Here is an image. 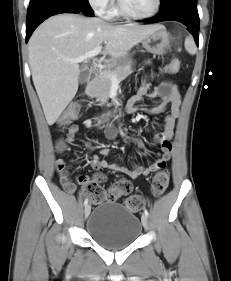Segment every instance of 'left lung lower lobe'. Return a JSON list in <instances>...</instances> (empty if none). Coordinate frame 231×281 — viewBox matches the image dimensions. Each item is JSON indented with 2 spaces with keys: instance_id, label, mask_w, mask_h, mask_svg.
I'll return each mask as SVG.
<instances>
[{
  "instance_id": "0a47b994",
  "label": "left lung lower lobe",
  "mask_w": 231,
  "mask_h": 281,
  "mask_svg": "<svg viewBox=\"0 0 231 281\" xmlns=\"http://www.w3.org/2000/svg\"><path fill=\"white\" fill-rule=\"evenodd\" d=\"M178 21L186 25L195 37L196 44L199 41V15L197 0H167L162 2L160 12L141 22L157 23L161 21Z\"/></svg>"
}]
</instances>
